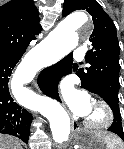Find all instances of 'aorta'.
<instances>
[{
    "mask_svg": "<svg viewBox=\"0 0 124 149\" xmlns=\"http://www.w3.org/2000/svg\"><path fill=\"white\" fill-rule=\"evenodd\" d=\"M89 21L84 12H76L62 20L48 36L26 57L17 71V76L24 81L32 75L45 53L52 51L61 56L68 54L78 45V33ZM43 115L49 120L53 140L56 143L67 141L70 134V119L65 109L53 99H45Z\"/></svg>",
    "mask_w": 124,
    "mask_h": 149,
    "instance_id": "aorta-1",
    "label": "aorta"
}]
</instances>
